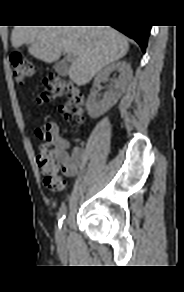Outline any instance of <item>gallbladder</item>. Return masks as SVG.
Returning <instances> with one entry per match:
<instances>
[{
    "label": "gallbladder",
    "instance_id": "bac80fb5",
    "mask_svg": "<svg viewBox=\"0 0 184 292\" xmlns=\"http://www.w3.org/2000/svg\"><path fill=\"white\" fill-rule=\"evenodd\" d=\"M54 69L61 76H66L68 74V71H69L68 65H66L62 62L55 63Z\"/></svg>",
    "mask_w": 184,
    "mask_h": 292
}]
</instances>
